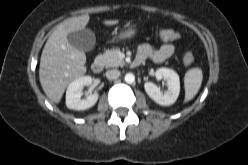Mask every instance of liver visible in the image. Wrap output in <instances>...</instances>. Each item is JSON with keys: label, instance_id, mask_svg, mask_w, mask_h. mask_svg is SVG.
I'll return each mask as SVG.
<instances>
[{"label": "liver", "instance_id": "obj_1", "mask_svg": "<svg viewBox=\"0 0 248 165\" xmlns=\"http://www.w3.org/2000/svg\"><path fill=\"white\" fill-rule=\"evenodd\" d=\"M89 15L66 19L56 26L49 36L40 59L39 79L45 94L59 103L67 85L86 72V55L73 47L67 35L82 30L89 22ZM118 20H106L105 25L117 24Z\"/></svg>", "mask_w": 248, "mask_h": 165}]
</instances>
